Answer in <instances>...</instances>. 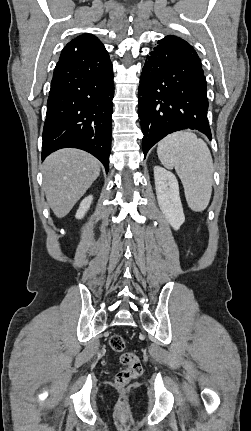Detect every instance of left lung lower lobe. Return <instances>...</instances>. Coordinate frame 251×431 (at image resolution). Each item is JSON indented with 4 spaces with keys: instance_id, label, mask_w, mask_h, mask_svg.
<instances>
[{
    "instance_id": "left-lung-lower-lobe-1",
    "label": "left lung lower lobe",
    "mask_w": 251,
    "mask_h": 431,
    "mask_svg": "<svg viewBox=\"0 0 251 431\" xmlns=\"http://www.w3.org/2000/svg\"><path fill=\"white\" fill-rule=\"evenodd\" d=\"M206 78L193 47L176 36L159 40L147 56L138 91L144 156L167 134L196 129L211 139Z\"/></svg>"
}]
</instances>
